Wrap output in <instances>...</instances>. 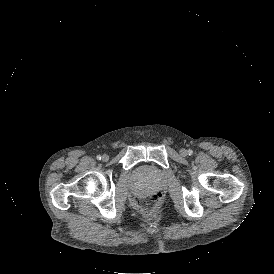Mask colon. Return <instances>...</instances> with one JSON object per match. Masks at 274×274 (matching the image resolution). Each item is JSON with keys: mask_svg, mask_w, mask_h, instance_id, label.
Instances as JSON below:
<instances>
[{"mask_svg": "<svg viewBox=\"0 0 274 274\" xmlns=\"http://www.w3.org/2000/svg\"><path fill=\"white\" fill-rule=\"evenodd\" d=\"M164 199V194L157 190L151 195L135 197L132 205L141 214L151 215L155 209L161 208Z\"/></svg>", "mask_w": 274, "mask_h": 274, "instance_id": "obj_1", "label": "colon"}]
</instances>
